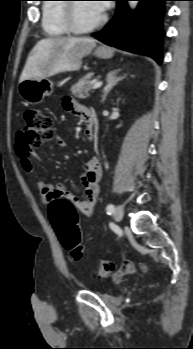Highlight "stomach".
<instances>
[{
	"label": "stomach",
	"mask_w": 193,
	"mask_h": 349,
	"mask_svg": "<svg viewBox=\"0 0 193 349\" xmlns=\"http://www.w3.org/2000/svg\"><path fill=\"white\" fill-rule=\"evenodd\" d=\"M114 50L107 46L96 49L95 55L101 59L113 57ZM18 91L21 98L29 104H38L53 91V84L46 78H30L19 83Z\"/></svg>",
	"instance_id": "0dacf381"
}]
</instances>
